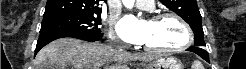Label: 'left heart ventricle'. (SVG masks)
Here are the masks:
<instances>
[{"label":"left heart ventricle","mask_w":246,"mask_h":69,"mask_svg":"<svg viewBox=\"0 0 246 69\" xmlns=\"http://www.w3.org/2000/svg\"><path fill=\"white\" fill-rule=\"evenodd\" d=\"M185 40L181 25L173 19L148 21L144 44L155 48H172Z\"/></svg>","instance_id":"left-heart-ventricle-1"}]
</instances>
